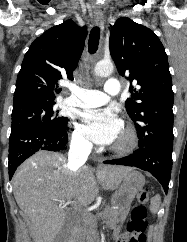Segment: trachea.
Returning <instances> with one entry per match:
<instances>
[{"instance_id":"3493384b","label":"trachea","mask_w":187,"mask_h":242,"mask_svg":"<svg viewBox=\"0 0 187 242\" xmlns=\"http://www.w3.org/2000/svg\"><path fill=\"white\" fill-rule=\"evenodd\" d=\"M100 28L98 26L93 27L89 35L88 50L90 54H94L99 45Z\"/></svg>"}]
</instances>
